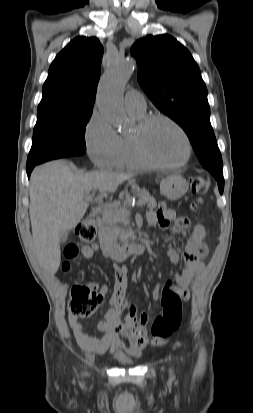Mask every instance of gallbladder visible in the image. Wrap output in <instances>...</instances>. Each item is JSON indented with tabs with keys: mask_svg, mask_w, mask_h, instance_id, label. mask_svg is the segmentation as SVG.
<instances>
[{
	"mask_svg": "<svg viewBox=\"0 0 253 413\" xmlns=\"http://www.w3.org/2000/svg\"><path fill=\"white\" fill-rule=\"evenodd\" d=\"M68 231H64L60 234V242L63 243L67 240L68 238Z\"/></svg>",
	"mask_w": 253,
	"mask_h": 413,
	"instance_id": "obj_1",
	"label": "gallbladder"
}]
</instances>
